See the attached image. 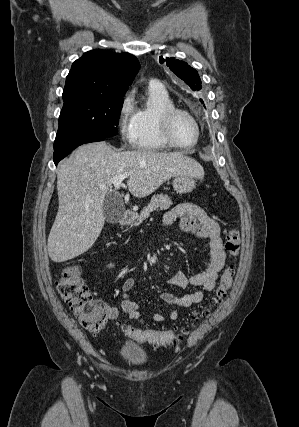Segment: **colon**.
<instances>
[{"label": "colon", "mask_w": 299, "mask_h": 427, "mask_svg": "<svg viewBox=\"0 0 299 427\" xmlns=\"http://www.w3.org/2000/svg\"><path fill=\"white\" fill-rule=\"evenodd\" d=\"M225 248L230 256L234 257L240 250V234L235 228L228 229L225 235ZM234 268L227 265L221 275L219 284L212 297L209 306L204 309L201 316H208L210 309L221 302L228 294L233 282ZM58 292L69 305L72 312L78 317L81 325L88 331L97 334L101 332L107 321L106 309L95 301L80 277L77 266L64 268L56 282ZM123 331L140 342L151 343L159 347H167L178 344L186 334L185 330L176 332L157 331L133 328L129 325L122 326Z\"/></svg>", "instance_id": "colon-1"}]
</instances>
